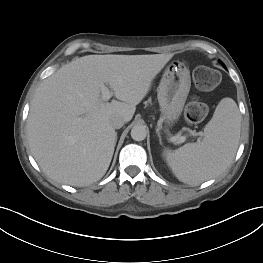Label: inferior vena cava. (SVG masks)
<instances>
[{"label":"inferior vena cava","instance_id":"1","mask_svg":"<svg viewBox=\"0 0 263 263\" xmlns=\"http://www.w3.org/2000/svg\"><path fill=\"white\" fill-rule=\"evenodd\" d=\"M125 121L122 117L117 116L112 118L111 125L114 129H119L124 125Z\"/></svg>","mask_w":263,"mask_h":263}]
</instances>
